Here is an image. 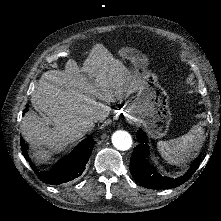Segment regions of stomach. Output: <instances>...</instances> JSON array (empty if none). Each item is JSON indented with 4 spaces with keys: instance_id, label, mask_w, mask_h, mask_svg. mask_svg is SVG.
I'll list each match as a JSON object with an SVG mask.
<instances>
[{
    "instance_id": "obj_1",
    "label": "stomach",
    "mask_w": 221,
    "mask_h": 221,
    "mask_svg": "<svg viewBox=\"0 0 221 221\" xmlns=\"http://www.w3.org/2000/svg\"><path fill=\"white\" fill-rule=\"evenodd\" d=\"M125 116L129 121L142 124L151 138L158 139L167 134L171 122L168 96L154 77L149 79L144 74L140 78L137 96Z\"/></svg>"
}]
</instances>
